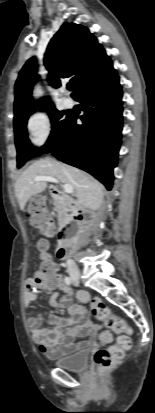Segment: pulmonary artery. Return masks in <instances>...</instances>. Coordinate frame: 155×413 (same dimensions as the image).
<instances>
[{
    "label": "pulmonary artery",
    "instance_id": "pulmonary-artery-1",
    "mask_svg": "<svg viewBox=\"0 0 155 413\" xmlns=\"http://www.w3.org/2000/svg\"><path fill=\"white\" fill-rule=\"evenodd\" d=\"M62 91H64V89H63ZM63 104H64L65 107L70 108V107L73 106V101H72V99H71L70 97L64 96V98H63Z\"/></svg>",
    "mask_w": 155,
    "mask_h": 413
}]
</instances>
